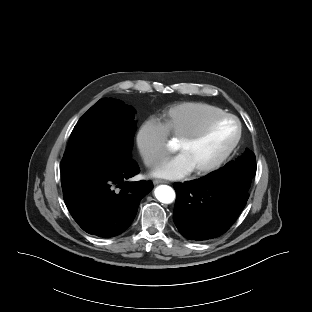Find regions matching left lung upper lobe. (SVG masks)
<instances>
[{
  "label": "left lung upper lobe",
  "mask_w": 312,
  "mask_h": 312,
  "mask_svg": "<svg viewBox=\"0 0 312 312\" xmlns=\"http://www.w3.org/2000/svg\"><path fill=\"white\" fill-rule=\"evenodd\" d=\"M256 174V159L252 151L246 149L244 155L236 161L229 162L215 173L210 175H224L231 178L235 183L242 186L248 192L252 178Z\"/></svg>",
  "instance_id": "left-lung-upper-lobe-1"
}]
</instances>
